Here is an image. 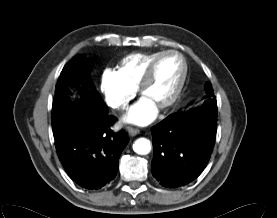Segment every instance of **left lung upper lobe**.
<instances>
[{"instance_id":"obj_1","label":"left lung upper lobe","mask_w":277,"mask_h":218,"mask_svg":"<svg viewBox=\"0 0 277 218\" xmlns=\"http://www.w3.org/2000/svg\"><path fill=\"white\" fill-rule=\"evenodd\" d=\"M205 91H206V95L204 96L205 101H204L203 105H205V106H207V105L217 106L216 97L214 95L211 83H206L205 84Z\"/></svg>"}]
</instances>
